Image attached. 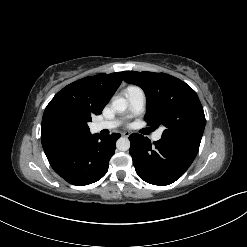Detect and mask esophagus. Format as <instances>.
I'll return each mask as SVG.
<instances>
[{"label":"esophagus","instance_id":"esophagus-1","mask_svg":"<svg viewBox=\"0 0 247 247\" xmlns=\"http://www.w3.org/2000/svg\"><path fill=\"white\" fill-rule=\"evenodd\" d=\"M121 134H122V136H124V137H129L131 133L128 132V131H124V132H122Z\"/></svg>","mask_w":247,"mask_h":247}]
</instances>
